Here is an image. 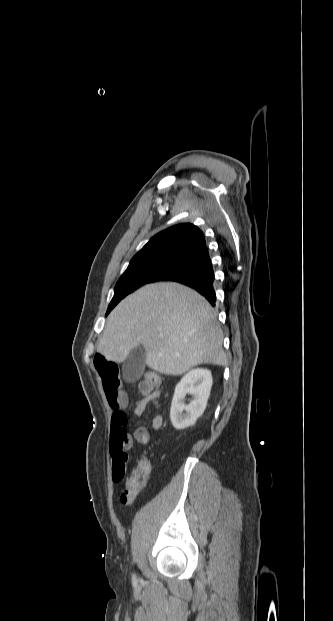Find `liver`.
I'll return each instance as SVG.
<instances>
[{"label":"liver","mask_w":333,"mask_h":621,"mask_svg":"<svg viewBox=\"0 0 333 621\" xmlns=\"http://www.w3.org/2000/svg\"><path fill=\"white\" fill-rule=\"evenodd\" d=\"M216 313L196 291L177 283L146 285L110 313L97 351L123 362L139 345L153 370L181 375L200 364L226 365Z\"/></svg>","instance_id":"1"}]
</instances>
